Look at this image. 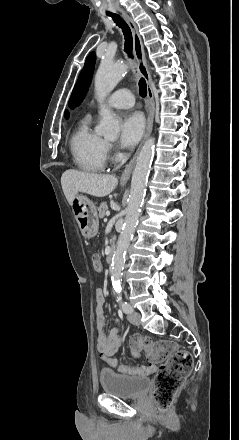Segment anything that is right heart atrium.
Returning a JSON list of instances; mask_svg holds the SVG:
<instances>
[{
	"label": "right heart atrium",
	"mask_w": 239,
	"mask_h": 440,
	"mask_svg": "<svg viewBox=\"0 0 239 440\" xmlns=\"http://www.w3.org/2000/svg\"><path fill=\"white\" fill-rule=\"evenodd\" d=\"M111 145L110 144H108V143H105V152H106V155L107 156H109L110 155V153H111Z\"/></svg>",
	"instance_id": "obj_1"
}]
</instances>
